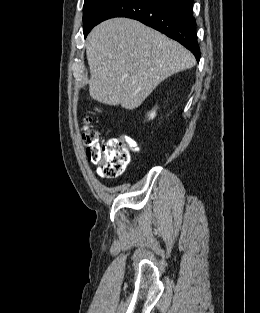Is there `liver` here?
I'll return each mask as SVG.
<instances>
[{
	"mask_svg": "<svg viewBox=\"0 0 260 313\" xmlns=\"http://www.w3.org/2000/svg\"><path fill=\"white\" fill-rule=\"evenodd\" d=\"M86 56L90 96L129 110L139 107L161 81L195 65L181 44L128 18L109 19L93 28Z\"/></svg>",
	"mask_w": 260,
	"mask_h": 313,
	"instance_id": "6515ba94",
	"label": "liver"
}]
</instances>
